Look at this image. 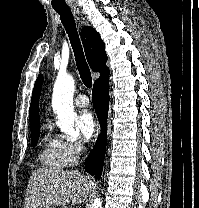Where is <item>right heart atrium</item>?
<instances>
[{"label": "right heart atrium", "instance_id": "d8ad5b80", "mask_svg": "<svg viewBox=\"0 0 199 208\" xmlns=\"http://www.w3.org/2000/svg\"><path fill=\"white\" fill-rule=\"evenodd\" d=\"M61 148L68 166L75 164L84 151L83 145L73 140L61 141Z\"/></svg>", "mask_w": 199, "mask_h": 208}]
</instances>
